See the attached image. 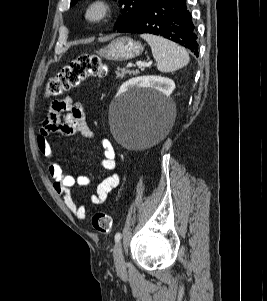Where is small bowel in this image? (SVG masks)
Here are the masks:
<instances>
[{"label": "small bowel", "instance_id": "1", "mask_svg": "<svg viewBox=\"0 0 267 301\" xmlns=\"http://www.w3.org/2000/svg\"><path fill=\"white\" fill-rule=\"evenodd\" d=\"M52 133H61L66 136L80 134L90 139L95 137L88 125L80 102L74 101L72 97L53 102L44 118L37 138V145L48 162V171L53 179L54 190L62 196L67 208L78 219L83 220L87 216L86 209L74 200L71 195V189L76 185L88 186L91 183V179L86 175L74 177L63 172L62 167L58 163L57 155L48 139ZM100 144L103 150L101 165L106 171L112 173L97 185L95 193L91 196L93 204L103 203L109 193L117 188L121 182L120 174L113 172L116 168V161L112 143L108 139H101Z\"/></svg>", "mask_w": 267, "mask_h": 301}]
</instances>
